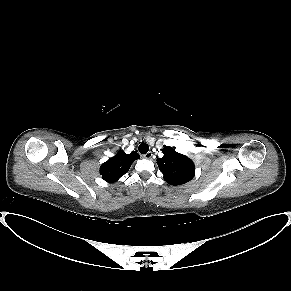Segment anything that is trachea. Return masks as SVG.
<instances>
[{"label":"trachea","mask_w":291,"mask_h":291,"mask_svg":"<svg viewBox=\"0 0 291 291\" xmlns=\"http://www.w3.org/2000/svg\"><path fill=\"white\" fill-rule=\"evenodd\" d=\"M138 150L141 154H146L149 151V146L143 142L139 145Z\"/></svg>","instance_id":"obj_1"}]
</instances>
